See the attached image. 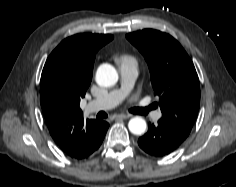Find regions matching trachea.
Segmentation results:
<instances>
[{
    "label": "trachea",
    "mask_w": 236,
    "mask_h": 187,
    "mask_svg": "<svg viewBox=\"0 0 236 187\" xmlns=\"http://www.w3.org/2000/svg\"><path fill=\"white\" fill-rule=\"evenodd\" d=\"M150 109H151V107H148V108L142 109V111H144V112L146 113V112H148ZM98 117H99V118H105V117H107V114H105V113H99Z\"/></svg>",
    "instance_id": "1"
}]
</instances>
